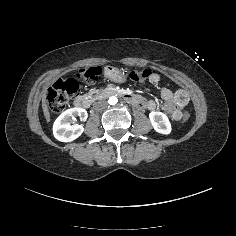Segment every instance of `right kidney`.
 I'll list each match as a JSON object with an SVG mask.
<instances>
[{"instance_id":"1","label":"right kidney","mask_w":236,"mask_h":236,"mask_svg":"<svg viewBox=\"0 0 236 236\" xmlns=\"http://www.w3.org/2000/svg\"><path fill=\"white\" fill-rule=\"evenodd\" d=\"M77 116L80 117L81 121H86L88 114L83 108H71L64 111L55 120L53 124V135L57 140L61 142H70L83 133V126L75 124Z\"/></svg>"}]
</instances>
